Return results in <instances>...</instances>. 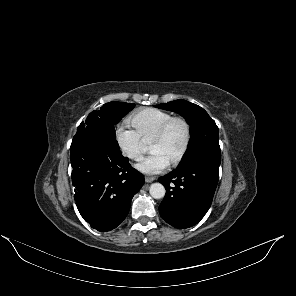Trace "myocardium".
Segmentation results:
<instances>
[{
  "mask_svg": "<svg viewBox=\"0 0 296 296\" xmlns=\"http://www.w3.org/2000/svg\"><path fill=\"white\" fill-rule=\"evenodd\" d=\"M176 122H181L184 125L186 138L180 154L171 162L173 166L178 165L185 158L190 148L191 139H192V130H191V125L189 121L183 116H172L169 120H167L163 124V126L160 128V130L157 132V134L154 136V138L151 141V144L162 141L168 134L171 126Z\"/></svg>",
  "mask_w": 296,
  "mask_h": 296,
  "instance_id": "obj_1",
  "label": "myocardium"
}]
</instances>
